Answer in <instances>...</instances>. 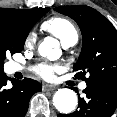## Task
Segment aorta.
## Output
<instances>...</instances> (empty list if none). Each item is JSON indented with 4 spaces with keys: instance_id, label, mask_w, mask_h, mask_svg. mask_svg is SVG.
Returning a JSON list of instances; mask_svg holds the SVG:
<instances>
[{
    "instance_id": "1",
    "label": "aorta",
    "mask_w": 117,
    "mask_h": 117,
    "mask_svg": "<svg viewBox=\"0 0 117 117\" xmlns=\"http://www.w3.org/2000/svg\"><path fill=\"white\" fill-rule=\"evenodd\" d=\"M38 51L41 56L47 57L49 60H57L62 54L58 47V42L51 37H46L44 39V41L40 44ZM77 104V96L71 89H59L53 96V105L60 113L69 114L73 112Z\"/></svg>"
}]
</instances>
